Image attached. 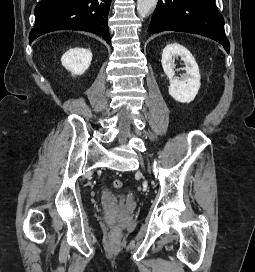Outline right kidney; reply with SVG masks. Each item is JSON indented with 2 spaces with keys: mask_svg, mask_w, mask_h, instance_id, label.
Segmentation results:
<instances>
[{
  "mask_svg": "<svg viewBox=\"0 0 255 272\" xmlns=\"http://www.w3.org/2000/svg\"><path fill=\"white\" fill-rule=\"evenodd\" d=\"M91 60L92 53L89 49L75 47L62 56L61 63L73 75H82L89 68Z\"/></svg>",
  "mask_w": 255,
  "mask_h": 272,
  "instance_id": "1",
  "label": "right kidney"
}]
</instances>
